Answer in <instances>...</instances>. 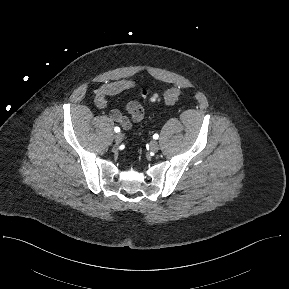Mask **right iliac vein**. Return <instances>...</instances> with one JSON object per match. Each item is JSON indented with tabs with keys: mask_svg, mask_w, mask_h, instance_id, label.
<instances>
[{
	"mask_svg": "<svg viewBox=\"0 0 289 289\" xmlns=\"http://www.w3.org/2000/svg\"><path fill=\"white\" fill-rule=\"evenodd\" d=\"M114 139L117 144H120L123 140V135L121 133H117L115 134Z\"/></svg>",
	"mask_w": 289,
	"mask_h": 289,
	"instance_id": "1",
	"label": "right iliac vein"
}]
</instances>
